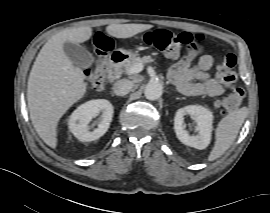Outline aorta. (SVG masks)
Listing matches in <instances>:
<instances>
[{"label": "aorta", "mask_w": 270, "mask_h": 213, "mask_svg": "<svg viewBox=\"0 0 270 213\" xmlns=\"http://www.w3.org/2000/svg\"><path fill=\"white\" fill-rule=\"evenodd\" d=\"M163 93V86L158 80H151L145 87L144 94L148 100H157Z\"/></svg>", "instance_id": "aorta-1"}]
</instances>
